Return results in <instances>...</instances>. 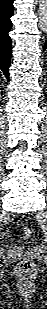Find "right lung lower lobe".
Returning <instances> with one entry per match:
<instances>
[{"instance_id":"obj_1","label":"right lung lower lobe","mask_w":47,"mask_h":309,"mask_svg":"<svg viewBox=\"0 0 47 309\" xmlns=\"http://www.w3.org/2000/svg\"><path fill=\"white\" fill-rule=\"evenodd\" d=\"M14 0H0V69L9 81V66L11 62V38L9 32L12 28L10 18L13 15Z\"/></svg>"}]
</instances>
